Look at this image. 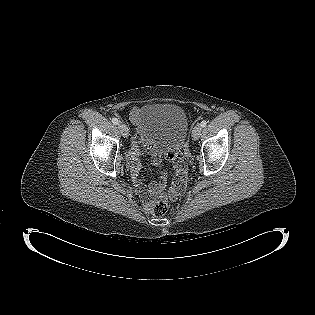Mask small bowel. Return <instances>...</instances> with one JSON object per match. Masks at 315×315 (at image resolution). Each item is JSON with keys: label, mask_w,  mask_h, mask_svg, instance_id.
<instances>
[{"label": "small bowel", "mask_w": 315, "mask_h": 315, "mask_svg": "<svg viewBox=\"0 0 315 315\" xmlns=\"http://www.w3.org/2000/svg\"><path fill=\"white\" fill-rule=\"evenodd\" d=\"M137 115V109L134 108L131 111V117L135 119ZM139 152L135 149H133L128 156V162L129 167L132 173L133 183L136 188L137 193L139 196L144 200H149L150 198L158 195L161 193V191L164 189L166 182H167V176L170 179L175 178L176 173L173 170L168 171V173H163L160 177V180L158 182H153L149 184L148 186L144 184L143 179L141 178V162L138 158ZM168 157L173 161V164L178 171V173H181L186 168V161L182 157L181 153L175 150H170L168 152ZM162 161V156L160 153H154L152 156V163L154 165H159Z\"/></svg>", "instance_id": "small-bowel-1"}]
</instances>
